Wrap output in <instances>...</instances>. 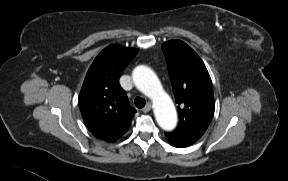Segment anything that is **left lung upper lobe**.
Returning <instances> with one entry per match:
<instances>
[{
	"mask_svg": "<svg viewBox=\"0 0 288 181\" xmlns=\"http://www.w3.org/2000/svg\"><path fill=\"white\" fill-rule=\"evenodd\" d=\"M162 50L178 103L180 122L175 131L203 134L215 109L209 73L195 51L180 40L165 42Z\"/></svg>",
	"mask_w": 288,
	"mask_h": 181,
	"instance_id": "obj_1",
	"label": "left lung upper lobe"
}]
</instances>
